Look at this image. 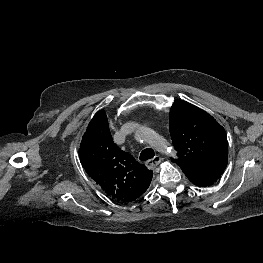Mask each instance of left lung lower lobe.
<instances>
[{
    "label": "left lung lower lobe",
    "instance_id": "1",
    "mask_svg": "<svg viewBox=\"0 0 263 263\" xmlns=\"http://www.w3.org/2000/svg\"><path fill=\"white\" fill-rule=\"evenodd\" d=\"M185 175L195 185L199 187H206L212 185L221 175L217 173H198V172H186Z\"/></svg>",
    "mask_w": 263,
    "mask_h": 263
}]
</instances>
